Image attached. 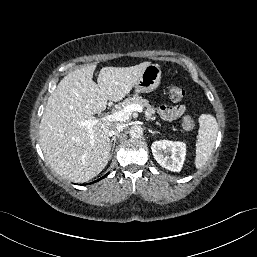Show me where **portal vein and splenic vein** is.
<instances>
[{
    "instance_id": "portal-vein-and-splenic-vein-1",
    "label": "portal vein and splenic vein",
    "mask_w": 257,
    "mask_h": 257,
    "mask_svg": "<svg viewBox=\"0 0 257 257\" xmlns=\"http://www.w3.org/2000/svg\"><path fill=\"white\" fill-rule=\"evenodd\" d=\"M137 111L139 113L143 112V107L139 104H130L125 106L123 109L119 111H115L111 114L106 115L105 117L101 118L103 121H109V122H122L131 116L132 112ZM99 119H90L85 120L81 122L82 126H85L88 128V133L90 134V138L93 141L94 140V134H93V125L98 123Z\"/></svg>"
}]
</instances>
